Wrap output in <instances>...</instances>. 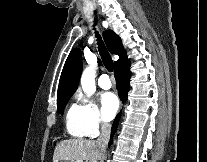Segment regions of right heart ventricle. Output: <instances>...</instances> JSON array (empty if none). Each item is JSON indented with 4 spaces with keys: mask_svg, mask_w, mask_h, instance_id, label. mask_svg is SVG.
Segmentation results:
<instances>
[{
    "mask_svg": "<svg viewBox=\"0 0 207 162\" xmlns=\"http://www.w3.org/2000/svg\"><path fill=\"white\" fill-rule=\"evenodd\" d=\"M65 125H66L67 132L71 136L77 138H84L88 136L84 124L83 105L75 102L70 104L65 116Z\"/></svg>",
    "mask_w": 207,
    "mask_h": 162,
    "instance_id": "obj_1",
    "label": "right heart ventricle"
}]
</instances>
